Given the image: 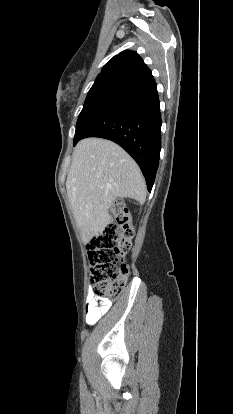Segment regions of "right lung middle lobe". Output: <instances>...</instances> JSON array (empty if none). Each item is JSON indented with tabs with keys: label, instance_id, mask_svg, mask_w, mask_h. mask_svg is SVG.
<instances>
[{
	"label": "right lung middle lobe",
	"instance_id": "obj_1",
	"mask_svg": "<svg viewBox=\"0 0 233 414\" xmlns=\"http://www.w3.org/2000/svg\"><path fill=\"white\" fill-rule=\"evenodd\" d=\"M133 83V80L125 79L119 76H105L97 78L86 97L84 107L78 117L76 131L86 116V114L95 106L108 98L125 91ZM76 137V133L74 139Z\"/></svg>",
	"mask_w": 233,
	"mask_h": 414
}]
</instances>
